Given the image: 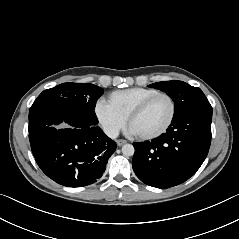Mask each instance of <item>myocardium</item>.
I'll list each match as a JSON object with an SVG mask.
<instances>
[{"mask_svg": "<svg viewBox=\"0 0 239 239\" xmlns=\"http://www.w3.org/2000/svg\"><path fill=\"white\" fill-rule=\"evenodd\" d=\"M158 97H166L171 104V115L169 120L167 121V123L158 131L154 132V133H150V134H144V135H137V137L139 139L142 140H151V139H155L158 138L160 136H162L163 134H165L170 127L172 126L175 117H176V113H177V105L176 102L174 100V98L165 92H157L155 94L150 95L149 97L145 98L144 100H142L140 103H138L128 114L127 116V124L129 125L131 123V121L138 116L153 100H155Z\"/></svg>", "mask_w": 239, "mask_h": 239, "instance_id": "myocardium-1", "label": "myocardium"}]
</instances>
